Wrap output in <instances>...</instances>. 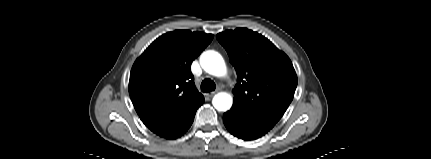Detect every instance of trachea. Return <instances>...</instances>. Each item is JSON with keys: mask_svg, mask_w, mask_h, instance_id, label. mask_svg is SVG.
<instances>
[{"mask_svg": "<svg viewBox=\"0 0 431 159\" xmlns=\"http://www.w3.org/2000/svg\"><path fill=\"white\" fill-rule=\"evenodd\" d=\"M216 88L215 82L209 78L204 79L201 83V91L202 92H211Z\"/></svg>", "mask_w": 431, "mask_h": 159, "instance_id": "3493384b", "label": "trachea"}]
</instances>
